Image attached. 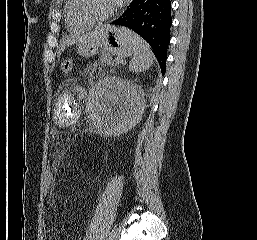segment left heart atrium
I'll return each instance as SVG.
<instances>
[{
    "instance_id": "1",
    "label": "left heart atrium",
    "mask_w": 257,
    "mask_h": 240,
    "mask_svg": "<svg viewBox=\"0 0 257 240\" xmlns=\"http://www.w3.org/2000/svg\"><path fill=\"white\" fill-rule=\"evenodd\" d=\"M115 5H118L121 3L122 0H113Z\"/></svg>"
}]
</instances>
